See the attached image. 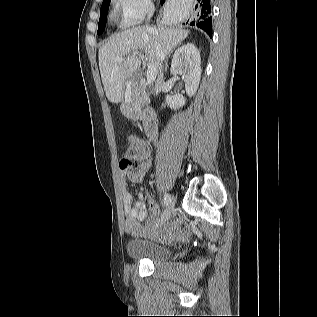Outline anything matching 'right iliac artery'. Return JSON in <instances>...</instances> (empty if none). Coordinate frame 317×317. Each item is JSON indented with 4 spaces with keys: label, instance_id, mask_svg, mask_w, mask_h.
Listing matches in <instances>:
<instances>
[{
    "label": "right iliac artery",
    "instance_id": "1",
    "mask_svg": "<svg viewBox=\"0 0 317 317\" xmlns=\"http://www.w3.org/2000/svg\"><path fill=\"white\" fill-rule=\"evenodd\" d=\"M170 200H171L170 195L167 194V193H165V194H164V205L167 206L168 203L170 202Z\"/></svg>",
    "mask_w": 317,
    "mask_h": 317
}]
</instances>
